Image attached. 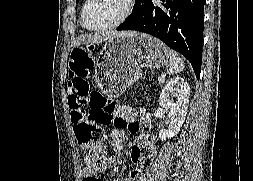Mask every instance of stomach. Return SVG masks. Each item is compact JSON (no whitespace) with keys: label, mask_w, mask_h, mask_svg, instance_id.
I'll list each match as a JSON object with an SVG mask.
<instances>
[{"label":"stomach","mask_w":253,"mask_h":181,"mask_svg":"<svg viewBox=\"0 0 253 181\" xmlns=\"http://www.w3.org/2000/svg\"><path fill=\"white\" fill-rule=\"evenodd\" d=\"M168 48L144 33L108 39L97 58L96 80L102 93L120 96L141 77L144 68H160L168 62Z\"/></svg>","instance_id":"0dacf381"}]
</instances>
